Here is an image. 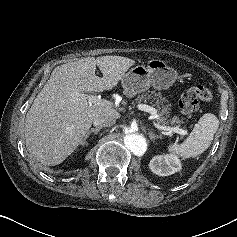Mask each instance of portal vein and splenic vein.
<instances>
[{
	"label": "portal vein and splenic vein",
	"mask_w": 237,
	"mask_h": 237,
	"mask_svg": "<svg viewBox=\"0 0 237 237\" xmlns=\"http://www.w3.org/2000/svg\"><path fill=\"white\" fill-rule=\"evenodd\" d=\"M80 96L82 97H85L88 99L89 103H94L96 105H101V106H107V107H112V102L108 101V100H104V99H101V96H93V95H87V94H81ZM137 108L141 111H145V112H148L152 115V118L153 119H156L158 116H157V110L149 105H146V104H138L137 105ZM158 129H161V130H166V131H169V132H175V133H178L180 135H186L187 134V131L186 130H183L181 128H178V127H170V126H161L159 124H154Z\"/></svg>",
	"instance_id": "obj_1"
}]
</instances>
